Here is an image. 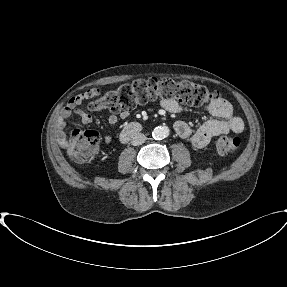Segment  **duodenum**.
Returning a JSON list of instances; mask_svg holds the SVG:
<instances>
[{
  "instance_id": "duodenum-1",
  "label": "duodenum",
  "mask_w": 287,
  "mask_h": 287,
  "mask_svg": "<svg viewBox=\"0 0 287 287\" xmlns=\"http://www.w3.org/2000/svg\"><path fill=\"white\" fill-rule=\"evenodd\" d=\"M141 130V125L138 122H130L127 124L120 134L121 142H126L130 137L134 136Z\"/></svg>"
}]
</instances>
